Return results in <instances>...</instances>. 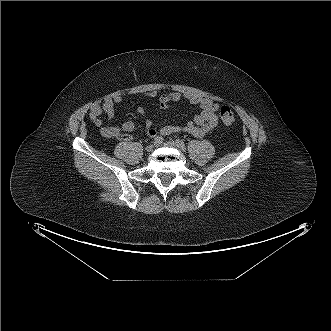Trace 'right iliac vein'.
Here are the masks:
<instances>
[{
	"label": "right iliac vein",
	"instance_id": "1",
	"mask_svg": "<svg viewBox=\"0 0 331 331\" xmlns=\"http://www.w3.org/2000/svg\"><path fill=\"white\" fill-rule=\"evenodd\" d=\"M153 148H154V146L152 144H150V145L146 146L145 150L147 152H151L153 150Z\"/></svg>",
	"mask_w": 331,
	"mask_h": 331
}]
</instances>
